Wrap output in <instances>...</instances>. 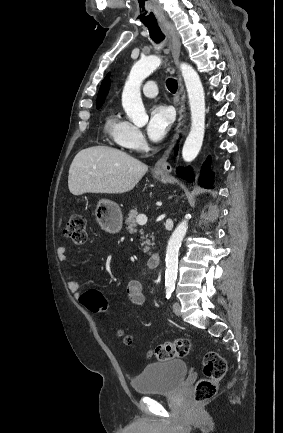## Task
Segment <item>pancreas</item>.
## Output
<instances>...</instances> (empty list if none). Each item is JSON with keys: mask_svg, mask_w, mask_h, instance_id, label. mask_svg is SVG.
I'll return each instance as SVG.
<instances>
[{"mask_svg": "<svg viewBox=\"0 0 283 433\" xmlns=\"http://www.w3.org/2000/svg\"><path fill=\"white\" fill-rule=\"evenodd\" d=\"M137 214H138L137 208H131V210L128 214V219H126V221H125L126 225H128L127 229L129 231V233H135V231H137V229H135V227H138V225H136ZM150 239H152V241H154L153 235H151ZM150 239H146L147 247H145V249H144V253H148V255H151Z\"/></svg>", "mask_w": 283, "mask_h": 433, "instance_id": "cf45deb5", "label": "pancreas"}]
</instances>
